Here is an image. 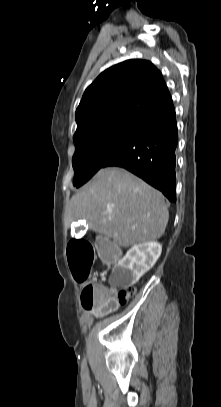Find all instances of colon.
<instances>
[{"instance_id": "1", "label": "colon", "mask_w": 221, "mask_h": 407, "mask_svg": "<svg viewBox=\"0 0 221 407\" xmlns=\"http://www.w3.org/2000/svg\"><path fill=\"white\" fill-rule=\"evenodd\" d=\"M97 240L101 243V246H97V255H101L106 268H111L114 261L120 259L121 246H116L115 240H108L106 234H99ZM68 259L74 278L84 284L81 301L86 310L107 314L117 310L134 295L135 291H112L103 285L87 282L95 259L94 246L88 240L73 239L68 246Z\"/></svg>"}]
</instances>
